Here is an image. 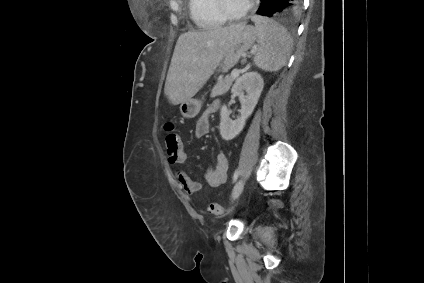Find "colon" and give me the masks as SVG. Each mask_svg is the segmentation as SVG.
I'll return each instance as SVG.
<instances>
[{
    "label": "colon",
    "instance_id": "1",
    "mask_svg": "<svg viewBox=\"0 0 424 283\" xmlns=\"http://www.w3.org/2000/svg\"><path fill=\"white\" fill-rule=\"evenodd\" d=\"M164 130L166 133L165 144L167 147H170V154L180 152L182 150L183 143L180 136L175 132L174 123L171 121L166 122ZM173 160L174 157H172V161ZM208 210L217 216H221L224 213L223 207L217 203H211L208 207Z\"/></svg>",
    "mask_w": 424,
    "mask_h": 283
}]
</instances>
